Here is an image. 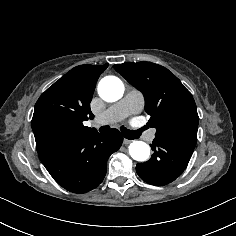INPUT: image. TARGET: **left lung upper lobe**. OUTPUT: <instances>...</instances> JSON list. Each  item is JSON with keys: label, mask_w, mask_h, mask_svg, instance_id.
Here are the masks:
<instances>
[{"label": "left lung upper lobe", "mask_w": 236, "mask_h": 236, "mask_svg": "<svg viewBox=\"0 0 236 236\" xmlns=\"http://www.w3.org/2000/svg\"><path fill=\"white\" fill-rule=\"evenodd\" d=\"M114 69L145 98L148 126L156 128L155 138L166 139L194 149L199 117L191 93L165 67L151 62H125Z\"/></svg>", "instance_id": "obj_1"}]
</instances>
